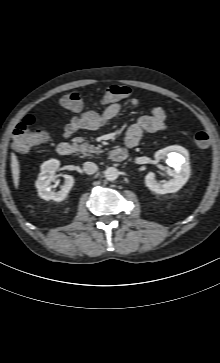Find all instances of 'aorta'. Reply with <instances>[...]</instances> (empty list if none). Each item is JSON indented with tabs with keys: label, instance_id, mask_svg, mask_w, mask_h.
I'll return each mask as SVG.
<instances>
[{
	"label": "aorta",
	"instance_id": "1",
	"mask_svg": "<svg viewBox=\"0 0 220 363\" xmlns=\"http://www.w3.org/2000/svg\"><path fill=\"white\" fill-rule=\"evenodd\" d=\"M104 176L108 181H114L119 176V171L115 167H109L105 170Z\"/></svg>",
	"mask_w": 220,
	"mask_h": 363
}]
</instances>
